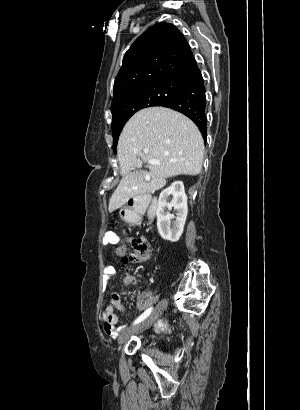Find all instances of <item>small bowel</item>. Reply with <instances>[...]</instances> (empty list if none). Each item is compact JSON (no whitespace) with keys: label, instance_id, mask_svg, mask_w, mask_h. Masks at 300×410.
<instances>
[{"label":"small bowel","instance_id":"obj_1","mask_svg":"<svg viewBox=\"0 0 300 410\" xmlns=\"http://www.w3.org/2000/svg\"><path fill=\"white\" fill-rule=\"evenodd\" d=\"M106 242L109 245H115L118 242V238L115 234L111 233L107 235ZM125 252L124 247H118L117 253L123 254ZM116 276V268L112 265H108L104 268V278H103V287L106 289L110 281ZM138 278L134 276H125L121 283L120 288H125L132 284H137ZM139 309L143 308V303L139 297L138 299ZM124 306L121 300L120 295L117 292L112 293L111 301L108 305L105 306L103 310V328L104 332L111 338H115L122 330L126 328L125 325L117 326L118 316L116 314L117 310H123ZM162 322L159 323L161 327Z\"/></svg>","mask_w":300,"mask_h":410}]
</instances>
